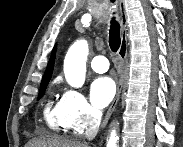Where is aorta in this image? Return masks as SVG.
<instances>
[{
  "label": "aorta",
  "mask_w": 183,
  "mask_h": 147,
  "mask_svg": "<svg viewBox=\"0 0 183 147\" xmlns=\"http://www.w3.org/2000/svg\"><path fill=\"white\" fill-rule=\"evenodd\" d=\"M88 43L76 41L68 50L64 59V74L67 83L74 88H81L85 82ZM118 136L113 130L107 140V147H117Z\"/></svg>",
  "instance_id": "obj_1"
}]
</instances>
